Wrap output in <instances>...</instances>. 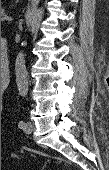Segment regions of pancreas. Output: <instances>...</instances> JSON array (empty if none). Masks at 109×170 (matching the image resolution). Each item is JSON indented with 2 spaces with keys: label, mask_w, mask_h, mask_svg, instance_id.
Masks as SVG:
<instances>
[{
  "label": "pancreas",
  "mask_w": 109,
  "mask_h": 170,
  "mask_svg": "<svg viewBox=\"0 0 109 170\" xmlns=\"http://www.w3.org/2000/svg\"><path fill=\"white\" fill-rule=\"evenodd\" d=\"M6 14H5V12H4V9H2L1 10V20H2V18L5 16Z\"/></svg>",
  "instance_id": "cf45deb5"
}]
</instances>
